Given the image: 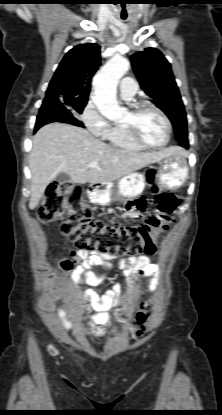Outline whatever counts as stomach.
<instances>
[{
  "label": "stomach",
  "mask_w": 222,
  "mask_h": 415,
  "mask_svg": "<svg viewBox=\"0 0 222 415\" xmlns=\"http://www.w3.org/2000/svg\"><path fill=\"white\" fill-rule=\"evenodd\" d=\"M158 176L163 185L168 188H179L188 176L186 157L182 154L167 156L158 161ZM145 188V177L141 173L133 172L122 179L117 185L98 183L90 186L88 191L91 200L100 205L109 203V196L131 199L140 195Z\"/></svg>",
  "instance_id": "0dacf381"
}]
</instances>
